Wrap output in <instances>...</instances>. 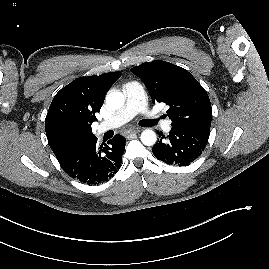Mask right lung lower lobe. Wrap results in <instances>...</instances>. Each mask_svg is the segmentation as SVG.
<instances>
[{
  "label": "right lung lower lobe",
  "mask_w": 269,
  "mask_h": 269,
  "mask_svg": "<svg viewBox=\"0 0 269 269\" xmlns=\"http://www.w3.org/2000/svg\"><path fill=\"white\" fill-rule=\"evenodd\" d=\"M126 139L115 135L108 144H97V138L84 144L59 163L74 179L89 185L109 181L120 169Z\"/></svg>",
  "instance_id": "obj_1"
}]
</instances>
